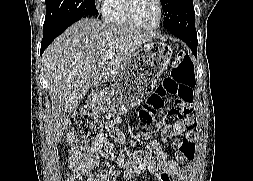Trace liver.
Listing matches in <instances>:
<instances>
[{
	"instance_id": "obj_1",
	"label": "liver",
	"mask_w": 253,
	"mask_h": 181,
	"mask_svg": "<svg viewBox=\"0 0 253 181\" xmlns=\"http://www.w3.org/2000/svg\"><path fill=\"white\" fill-rule=\"evenodd\" d=\"M155 37L135 27L85 18L69 27L44 52V77L52 103L51 131L59 142L69 115L92 87L112 79L142 44ZM107 52H113L109 59Z\"/></svg>"
}]
</instances>
